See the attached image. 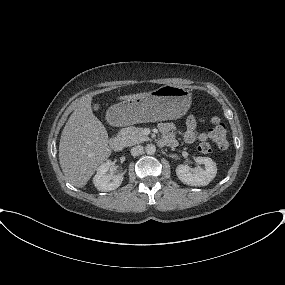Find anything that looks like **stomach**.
<instances>
[{
  "instance_id": "obj_1",
  "label": "stomach",
  "mask_w": 285,
  "mask_h": 285,
  "mask_svg": "<svg viewBox=\"0 0 285 285\" xmlns=\"http://www.w3.org/2000/svg\"><path fill=\"white\" fill-rule=\"evenodd\" d=\"M191 92L184 87L164 85L144 96L113 105L109 117L117 124L156 122L176 119L189 110Z\"/></svg>"
}]
</instances>
